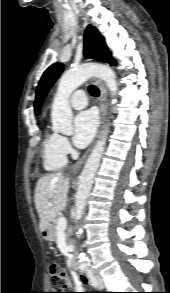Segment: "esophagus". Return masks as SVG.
I'll use <instances>...</instances> for the list:
<instances>
[{
  "label": "esophagus",
  "mask_w": 170,
  "mask_h": 293,
  "mask_svg": "<svg viewBox=\"0 0 170 293\" xmlns=\"http://www.w3.org/2000/svg\"><path fill=\"white\" fill-rule=\"evenodd\" d=\"M92 80H93L94 84L99 88L100 93H101L100 103H99L100 127H99L98 133L96 135V139H95V141H96L100 137L101 130H102L103 124H104L106 116H107V90H106L104 83L100 79L93 78ZM95 141L90 146V148L83 154V156L76 162V164L73 166L72 173H76L77 171H79L81 169V167L83 166L87 156L89 155Z\"/></svg>",
  "instance_id": "34e87169"
}]
</instances>
